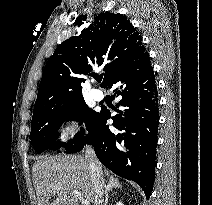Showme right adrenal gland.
Listing matches in <instances>:
<instances>
[{
	"mask_svg": "<svg viewBox=\"0 0 212 205\" xmlns=\"http://www.w3.org/2000/svg\"><path fill=\"white\" fill-rule=\"evenodd\" d=\"M113 189H122V185L119 184V182H117L115 180H109L107 187H106L105 201H104L103 205L108 204L109 192L112 191Z\"/></svg>",
	"mask_w": 212,
	"mask_h": 205,
	"instance_id": "right-adrenal-gland-1",
	"label": "right adrenal gland"
}]
</instances>
